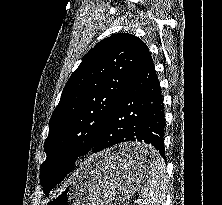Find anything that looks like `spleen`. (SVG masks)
<instances>
[{"label":"spleen","instance_id":"3e777b00","mask_svg":"<svg viewBox=\"0 0 222 205\" xmlns=\"http://www.w3.org/2000/svg\"><path fill=\"white\" fill-rule=\"evenodd\" d=\"M141 197V205H165V162L157 154L151 161L149 175L141 189Z\"/></svg>","mask_w":222,"mask_h":205}]
</instances>
